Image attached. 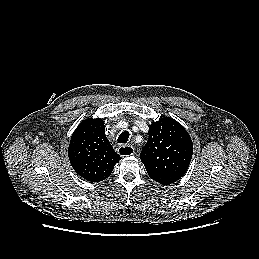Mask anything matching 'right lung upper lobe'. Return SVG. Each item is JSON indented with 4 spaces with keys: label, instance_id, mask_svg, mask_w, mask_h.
Returning <instances> with one entry per match:
<instances>
[{
    "label": "right lung upper lobe",
    "instance_id": "right-lung-upper-lobe-1",
    "mask_svg": "<svg viewBox=\"0 0 259 259\" xmlns=\"http://www.w3.org/2000/svg\"><path fill=\"white\" fill-rule=\"evenodd\" d=\"M68 156L76 173L90 182L108 178L121 159L105 135L103 120L98 118H88L78 125L71 136Z\"/></svg>",
    "mask_w": 259,
    "mask_h": 259
}]
</instances>
